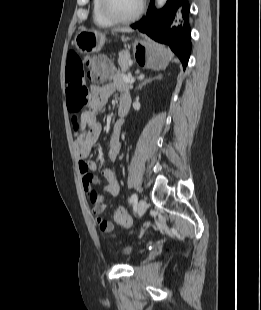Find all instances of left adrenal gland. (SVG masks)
<instances>
[{
  "instance_id": "a2214340",
  "label": "left adrenal gland",
  "mask_w": 261,
  "mask_h": 310,
  "mask_svg": "<svg viewBox=\"0 0 261 310\" xmlns=\"http://www.w3.org/2000/svg\"><path fill=\"white\" fill-rule=\"evenodd\" d=\"M162 78V75L159 74L157 75L156 77H153V78H146L137 88L136 90H140L142 89L143 86H145L147 83H150L151 81L155 80V79H161Z\"/></svg>"
}]
</instances>
